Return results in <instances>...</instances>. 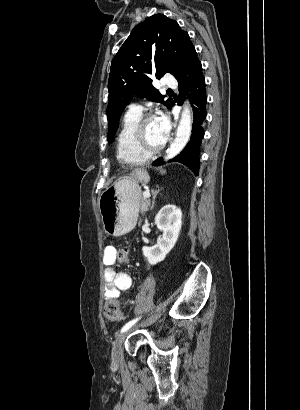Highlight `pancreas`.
Listing matches in <instances>:
<instances>
[{"label": "pancreas", "instance_id": "1", "mask_svg": "<svg viewBox=\"0 0 300 410\" xmlns=\"http://www.w3.org/2000/svg\"><path fill=\"white\" fill-rule=\"evenodd\" d=\"M149 205V201L146 198H141L140 200V213L143 214L147 211Z\"/></svg>", "mask_w": 300, "mask_h": 410}]
</instances>
